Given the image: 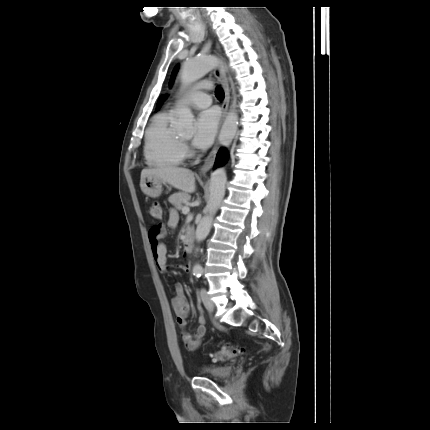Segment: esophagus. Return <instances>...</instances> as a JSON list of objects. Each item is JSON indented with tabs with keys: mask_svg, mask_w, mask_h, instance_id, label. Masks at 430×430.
Here are the masks:
<instances>
[{
	"mask_svg": "<svg viewBox=\"0 0 430 430\" xmlns=\"http://www.w3.org/2000/svg\"><path fill=\"white\" fill-rule=\"evenodd\" d=\"M213 73L219 79V81L222 83L224 93H225V97H224V100H223V103L221 106L222 122H223L224 119L226 118L227 114H228V107H229V102H230V89H229V85H228V81H227L225 72L222 68V59L221 58H220L219 65H217L215 67ZM217 152H218V142L215 143L212 151L210 152V154L206 158L204 164L200 168V174L205 175L212 168V166L214 165V162H215Z\"/></svg>",
	"mask_w": 430,
	"mask_h": 430,
	"instance_id": "obj_1",
	"label": "esophagus"
}]
</instances>
